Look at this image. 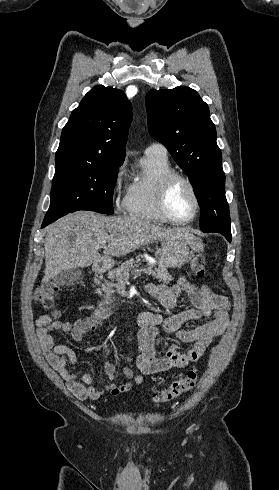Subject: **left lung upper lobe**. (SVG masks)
<instances>
[{
  "mask_svg": "<svg viewBox=\"0 0 279 490\" xmlns=\"http://www.w3.org/2000/svg\"><path fill=\"white\" fill-rule=\"evenodd\" d=\"M150 135L162 143L188 175L200 206V228L231 241L221 150L208 105L186 86L146 95Z\"/></svg>",
  "mask_w": 279,
  "mask_h": 490,
  "instance_id": "obj_1",
  "label": "left lung upper lobe"
}]
</instances>
